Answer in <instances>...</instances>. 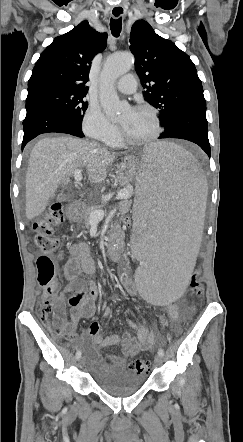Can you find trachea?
<instances>
[{
  "mask_svg": "<svg viewBox=\"0 0 243 442\" xmlns=\"http://www.w3.org/2000/svg\"><path fill=\"white\" fill-rule=\"evenodd\" d=\"M122 28V18L111 19L110 29L114 37H119Z\"/></svg>",
  "mask_w": 243,
  "mask_h": 442,
  "instance_id": "1",
  "label": "trachea"
}]
</instances>
